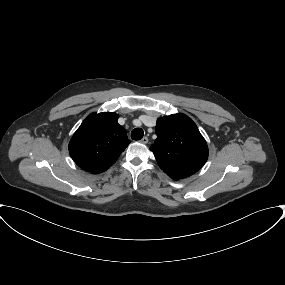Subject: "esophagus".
Masks as SVG:
<instances>
[{"label": "esophagus", "instance_id": "obj_1", "mask_svg": "<svg viewBox=\"0 0 285 285\" xmlns=\"http://www.w3.org/2000/svg\"><path fill=\"white\" fill-rule=\"evenodd\" d=\"M141 143L143 144H147L148 143V138L147 137H143L141 140H140Z\"/></svg>", "mask_w": 285, "mask_h": 285}]
</instances>
